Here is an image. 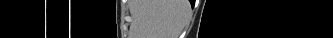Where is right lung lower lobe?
<instances>
[{
  "label": "right lung lower lobe",
  "instance_id": "98d812e1",
  "mask_svg": "<svg viewBox=\"0 0 333 38\" xmlns=\"http://www.w3.org/2000/svg\"><path fill=\"white\" fill-rule=\"evenodd\" d=\"M190 3H191L192 6L194 5V1L190 0Z\"/></svg>",
  "mask_w": 333,
  "mask_h": 38
}]
</instances>
